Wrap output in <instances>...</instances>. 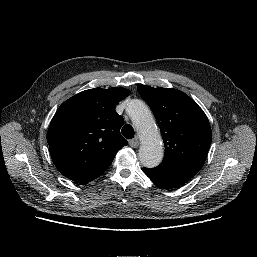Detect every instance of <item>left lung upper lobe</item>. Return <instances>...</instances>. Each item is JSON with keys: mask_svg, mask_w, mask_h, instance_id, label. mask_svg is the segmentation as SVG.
<instances>
[{"mask_svg": "<svg viewBox=\"0 0 257 257\" xmlns=\"http://www.w3.org/2000/svg\"><path fill=\"white\" fill-rule=\"evenodd\" d=\"M137 91L154 113L164 141V158L157 167L195 176L205 163L212 141L203 110L176 89L139 85Z\"/></svg>", "mask_w": 257, "mask_h": 257, "instance_id": "5c2ea615", "label": "left lung upper lobe"}]
</instances>
